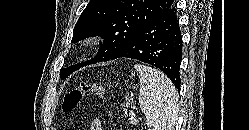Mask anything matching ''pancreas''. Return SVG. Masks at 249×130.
I'll return each instance as SVG.
<instances>
[{
	"instance_id": "1",
	"label": "pancreas",
	"mask_w": 249,
	"mask_h": 130,
	"mask_svg": "<svg viewBox=\"0 0 249 130\" xmlns=\"http://www.w3.org/2000/svg\"><path fill=\"white\" fill-rule=\"evenodd\" d=\"M130 107V105H126V107ZM134 107L131 105V109H133ZM125 111V117L128 116L129 113V121L131 124H138V120L135 118V112L133 110H129V112H127V109L124 110Z\"/></svg>"
}]
</instances>
